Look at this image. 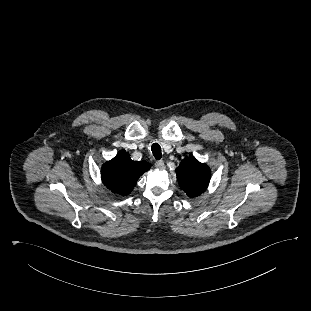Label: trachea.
<instances>
[{
    "mask_svg": "<svg viewBox=\"0 0 311 311\" xmlns=\"http://www.w3.org/2000/svg\"><path fill=\"white\" fill-rule=\"evenodd\" d=\"M152 153L157 160H160L162 157L161 147L159 144L154 143L151 147Z\"/></svg>",
    "mask_w": 311,
    "mask_h": 311,
    "instance_id": "trachea-1",
    "label": "trachea"
}]
</instances>
